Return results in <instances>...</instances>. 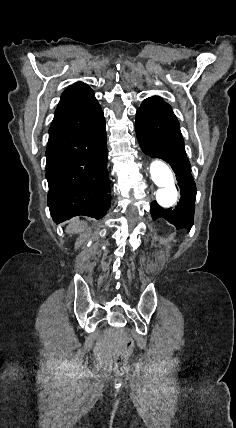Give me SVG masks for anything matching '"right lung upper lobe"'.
<instances>
[{"label":"right lung upper lobe","mask_w":236,"mask_h":428,"mask_svg":"<svg viewBox=\"0 0 236 428\" xmlns=\"http://www.w3.org/2000/svg\"><path fill=\"white\" fill-rule=\"evenodd\" d=\"M99 106L93 90L87 84L77 82L63 92L54 117L87 112Z\"/></svg>","instance_id":"cb5924a9"}]
</instances>
